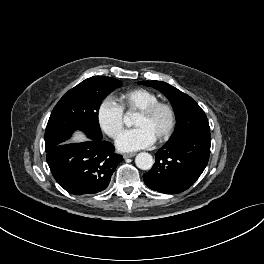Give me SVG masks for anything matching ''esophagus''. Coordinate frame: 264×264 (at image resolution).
<instances>
[{
    "label": "esophagus",
    "instance_id": "esophagus-1",
    "mask_svg": "<svg viewBox=\"0 0 264 264\" xmlns=\"http://www.w3.org/2000/svg\"><path fill=\"white\" fill-rule=\"evenodd\" d=\"M136 155V153H125L123 154V158L127 159V158H132Z\"/></svg>",
    "mask_w": 264,
    "mask_h": 264
}]
</instances>
